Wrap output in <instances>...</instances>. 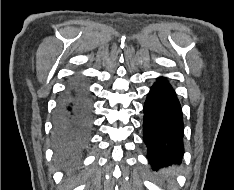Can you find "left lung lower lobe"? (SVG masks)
I'll return each instance as SVG.
<instances>
[{"label": "left lung lower lobe", "instance_id": "obj_1", "mask_svg": "<svg viewBox=\"0 0 234 190\" xmlns=\"http://www.w3.org/2000/svg\"><path fill=\"white\" fill-rule=\"evenodd\" d=\"M183 116L179 100L165 77L157 78L144 103L143 140L153 168L183 158Z\"/></svg>", "mask_w": 234, "mask_h": 190}]
</instances>
